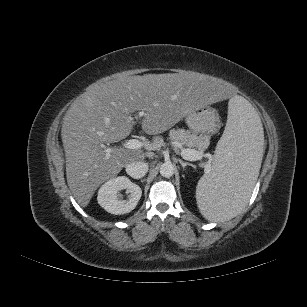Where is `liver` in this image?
Wrapping results in <instances>:
<instances>
[{
    "instance_id": "6515ba94",
    "label": "liver",
    "mask_w": 307,
    "mask_h": 307,
    "mask_svg": "<svg viewBox=\"0 0 307 307\" xmlns=\"http://www.w3.org/2000/svg\"><path fill=\"white\" fill-rule=\"evenodd\" d=\"M232 92L195 73L122 77L90 85L66 112L62 141L68 186L82 207L106 180L127 164L142 161L141 149L115 148L109 159L101 145L125 139L133 128L132 114L143 112L142 129L161 134L191 111L228 102Z\"/></svg>"
}]
</instances>
